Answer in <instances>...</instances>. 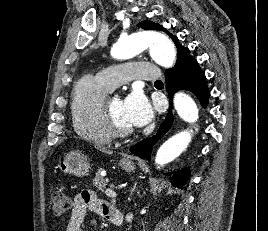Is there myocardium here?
I'll return each mask as SVG.
<instances>
[{
	"mask_svg": "<svg viewBox=\"0 0 268 231\" xmlns=\"http://www.w3.org/2000/svg\"><path fill=\"white\" fill-rule=\"evenodd\" d=\"M110 100L111 99H106L103 106L105 121L108 130L111 132L113 137L124 138L133 135L135 133V129L123 128L118 124L117 120L113 115Z\"/></svg>",
	"mask_w": 268,
	"mask_h": 231,
	"instance_id": "1",
	"label": "myocardium"
}]
</instances>
